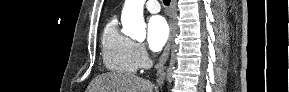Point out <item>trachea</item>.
<instances>
[{
	"mask_svg": "<svg viewBox=\"0 0 289 92\" xmlns=\"http://www.w3.org/2000/svg\"><path fill=\"white\" fill-rule=\"evenodd\" d=\"M164 5L168 6L170 4V0H163Z\"/></svg>",
	"mask_w": 289,
	"mask_h": 92,
	"instance_id": "obj_1",
	"label": "trachea"
}]
</instances>
